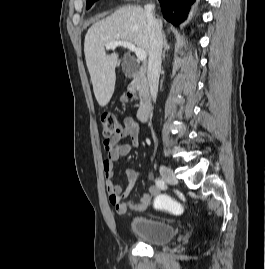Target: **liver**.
<instances>
[{
	"mask_svg": "<svg viewBox=\"0 0 265 269\" xmlns=\"http://www.w3.org/2000/svg\"><path fill=\"white\" fill-rule=\"evenodd\" d=\"M160 27L162 21L157 20ZM129 41L150 52V39L145 10L124 6L112 15L93 24L85 36L84 53L98 104L110 101L115 87V69L120 64L117 53L106 55L105 46L113 41Z\"/></svg>",
	"mask_w": 265,
	"mask_h": 269,
	"instance_id": "liver-1",
	"label": "liver"
}]
</instances>
